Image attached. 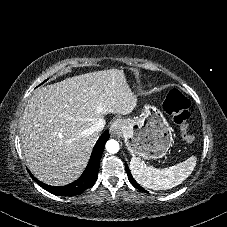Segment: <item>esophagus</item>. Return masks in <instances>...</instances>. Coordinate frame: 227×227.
Returning <instances> with one entry per match:
<instances>
[{"label":"esophagus","instance_id":"obj_1","mask_svg":"<svg viewBox=\"0 0 227 227\" xmlns=\"http://www.w3.org/2000/svg\"><path fill=\"white\" fill-rule=\"evenodd\" d=\"M122 127H123V121L121 119L114 120L110 126V133L112 135L120 134Z\"/></svg>","mask_w":227,"mask_h":227}]
</instances>
